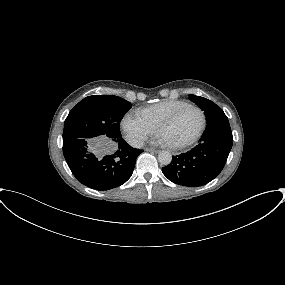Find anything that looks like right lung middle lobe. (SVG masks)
<instances>
[{"mask_svg":"<svg viewBox=\"0 0 285 285\" xmlns=\"http://www.w3.org/2000/svg\"><path fill=\"white\" fill-rule=\"evenodd\" d=\"M131 103L113 95H93L81 100L64 122L63 142L75 139L110 141L121 138L119 124Z\"/></svg>","mask_w":285,"mask_h":285,"instance_id":"obj_1","label":"right lung middle lobe"}]
</instances>
